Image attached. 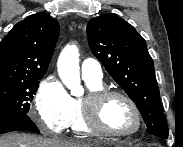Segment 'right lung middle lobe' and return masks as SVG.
<instances>
[{"label": "right lung middle lobe", "instance_id": "obj_1", "mask_svg": "<svg viewBox=\"0 0 183 147\" xmlns=\"http://www.w3.org/2000/svg\"><path fill=\"white\" fill-rule=\"evenodd\" d=\"M41 78L0 82V118L9 115L27 114Z\"/></svg>", "mask_w": 183, "mask_h": 147}]
</instances>
